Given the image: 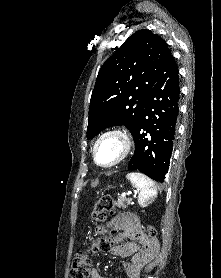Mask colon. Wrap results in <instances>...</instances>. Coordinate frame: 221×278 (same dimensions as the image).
<instances>
[{
    "label": "colon",
    "instance_id": "1",
    "mask_svg": "<svg viewBox=\"0 0 221 278\" xmlns=\"http://www.w3.org/2000/svg\"><path fill=\"white\" fill-rule=\"evenodd\" d=\"M115 212V203L111 196H102L96 203L92 214V222L109 228L110 234L115 235L116 230L110 224L108 217ZM149 238L155 239L156 231L148 227ZM111 242L108 238H101L98 241H90L86 248L79 251L77 257L73 260L70 277L71 278H91V254L106 251L109 249Z\"/></svg>",
    "mask_w": 221,
    "mask_h": 278
}]
</instances>
